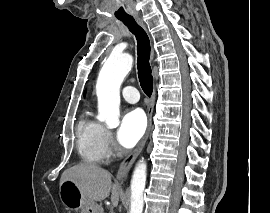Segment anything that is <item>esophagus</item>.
<instances>
[{
	"label": "esophagus",
	"instance_id": "obj_1",
	"mask_svg": "<svg viewBox=\"0 0 270 213\" xmlns=\"http://www.w3.org/2000/svg\"><path fill=\"white\" fill-rule=\"evenodd\" d=\"M138 23L145 28V25L143 24L142 20L140 18H137ZM154 58V50L152 49L151 51V59ZM155 100V90L153 91L152 94V101L154 102ZM153 108H154V103L151 104L149 111H148V126L145 135L143 136L142 140L138 144V146L135 148L133 152H131L120 164L118 172H117V179L122 180L131 166L133 165L134 161L142 151L148 137L151 131L152 127V113H153Z\"/></svg>",
	"mask_w": 270,
	"mask_h": 213
}]
</instances>
